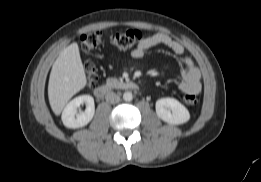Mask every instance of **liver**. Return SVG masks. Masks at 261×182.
Here are the masks:
<instances>
[{
    "label": "liver",
    "mask_w": 261,
    "mask_h": 182,
    "mask_svg": "<svg viewBox=\"0 0 261 182\" xmlns=\"http://www.w3.org/2000/svg\"><path fill=\"white\" fill-rule=\"evenodd\" d=\"M86 83L79 47L74 42L61 51L51 69L48 98L53 112L59 115L67 102L82 90Z\"/></svg>",
    "instance_id": "obj_1"
}]
</instances>
